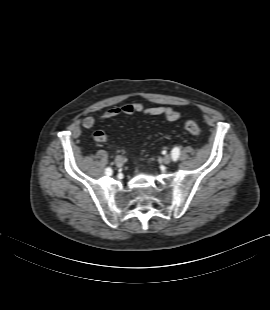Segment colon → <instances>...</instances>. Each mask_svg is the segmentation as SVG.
I'll list each match as a JSON object with an SVG mask.
<instances>
[{
  "label": "colon",
  "instance_id": "obj_1",
  "mask_svg": "<svg viewBox=\"0 0 270 310\" xmlns=\"http://www.w3.org/2000/svg\"><path fill=\"white\" fill-rule=\"evenodd\" d=\"M184 129L191 135L199 136L202 133V129L194 120H187L184 123Z\"/></svg>",
  "mask_w": 270,
  "mask_h": 310
}]
</instances>
